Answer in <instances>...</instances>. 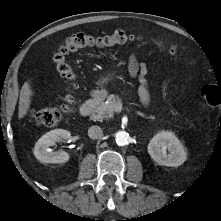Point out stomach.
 I'll return each instance as SVG.
<instances>
[{
    "instance_id": "stomach-1",
    "label": "stomach",
    "mask_w": 221,
    "mask_h": 221,
    "mask_svg": "<svg viewBox=\"0 0 221 221\" xmlns=\"http://www.w3.org/2000/svg\"><path fill=\"white\" fill-rule=\"evenodd\" d=\"M108 78H109V76H108V77H105V78H102V79H101V83L107 82V81H108Z\"/></svg>"
}]
</instances>
